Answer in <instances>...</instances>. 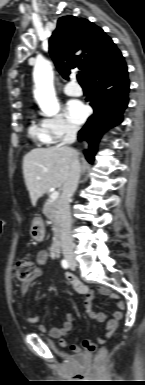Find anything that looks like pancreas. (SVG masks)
<instances>
[{"label": "pancreas", "mask_w": 145, "mask_h": 385, "mask_svg": "<svg viewBox=\"0 0 145 385\" xmlns=\"http://www.w3.org/2000/svg\"><path fill=\"white\" fill-rule=\"evenodd\" d=\"M43 214L53 223V231L57 235L60 224L57 200L47 199L44 204Z\"/></svg>", "instance_id": "cf45deb5"}]
</instances>
